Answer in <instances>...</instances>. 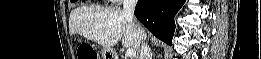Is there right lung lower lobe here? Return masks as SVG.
Listing matches in <instances>:
<instances>
[{
    "mask_svg": "<svg viewBox=\"0 0 261 59\" xmlns=\"http://www.w3.org/2000/svg\"><path fill=\"white\" fill-rule=\"evenodd\" d=\"M185 0H138L137 19L157 38L172 45L174 16Z\"/></svg>",
    "mask_w": 261,
    "mask_h": 59,
    "instance_id": "obj_1",
    "label": "right lung lower lobe"
}]
</instances>
